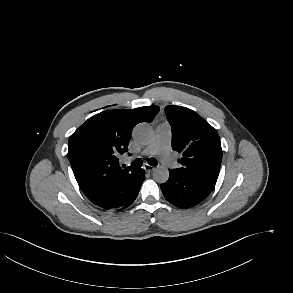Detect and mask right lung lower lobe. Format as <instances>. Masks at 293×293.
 Listing matches in <instances>:
<instances>
[{
    "mask_svg": "<svg viewBox=\"0 0 293 293\" xmlns=\"http://www.w3.org/2000/svg\"><path fill=\"white\" fill-rule=\"evenodd\" d=\"M140 176H141V180H140V184H139V187H138L136 193L130 198V200L124 206L118 208V210H122V209H125L126 207L130 206L134 202V200L136 199L138 192L140 190V187H141L143 181L145 180V171L143 169H140Z\"/></svg>",
    "mask_w": 293,
    "mask_h": 293,
    "instance_id": "right-lung-lower-lobe-1",
    "label": "right lung lower lobe"
}]
</instances>
